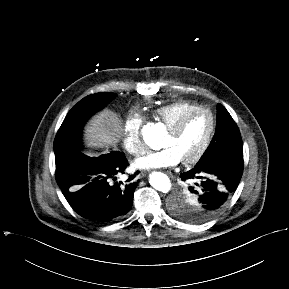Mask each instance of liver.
<instances>
[{"label": "liver", "instance_id": "liver-1", "mask_svg": "<svg viewBox=\"0 0 289 289\" xmlns=\"http://www.w3.org/2000/svg\"><path fill=\"white\" fill-rule=\"evenodd\" d=\"M122 123L116 113L105 109L93 116L85 127L84 143L91 148H108L118 142ZM88 155H94L88 153Z\"/></svg>", "mask_w": 289, "mask_h": 289}]
</instances>
